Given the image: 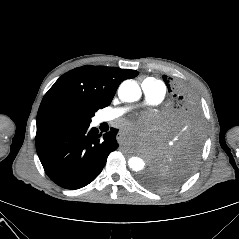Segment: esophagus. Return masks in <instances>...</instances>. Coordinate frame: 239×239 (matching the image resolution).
<instances>
[{"label":"esophagus","mask_w":239,"mask_h":239,"mask_svg":"<svg viewBox=\"0 0 239 239\" xmlns=\"http://www.w3.org/2000/svg\"><path fill=\"white\" fill-rule=\"evenodd\" d=\"M115 138L119 142H124L126 140V135L124 133L118 132L116 133Z\"/></svg>","instance_id":"obj_1"}]
</instances>
